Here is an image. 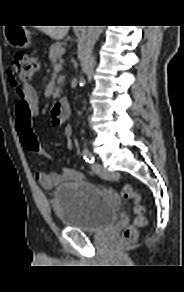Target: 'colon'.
Instances as JSON below:
<instances>
[{"instance_id":"5ec220e1","label":"colon","mask_w":184,"mask_h":292,"mask_svg":"<svg viewBox=\"0 0 184 292\" xmlns=\"http://www.w3.org/2000/svg\"><path fill=\"white\" fill-rule=\"evenodd\" d=\"M39 59L24 53L15 54L10 61V82L17 93L16 115L19 138L23 147L31 154L46 160L53 155L40 143L33 129V121L40 112V99L30 82L39 68ZM120 195L133 202L134 219L123 232V242L132 243L137 239L138 231L146 224L145 209L141 196L130 186L125 185Z\"/></svg>"}]
</instances>
